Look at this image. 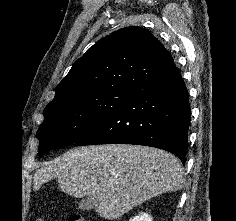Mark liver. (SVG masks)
<instances>
[{
    "label": "liver",
    "mask_w": 236,
    "mask_h": 221,
    "mask_svg": "<svg viewBox=\"0 0 236 221\" xmlns=\"http://www.w3.org/2000/svg\"><path fill=\"white\" fill-rule=\"evenodd\" d=\"M56 179L75 198L96 196V212L115 220L135 206L183 187L179 159L162 149L127 144L73 148L36 170L34 190Z\"/></svg>",
    "instance_id": "liver-1"
}]
</instances>
